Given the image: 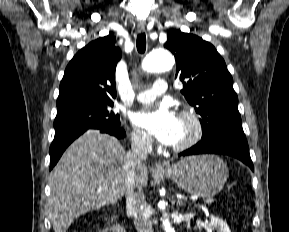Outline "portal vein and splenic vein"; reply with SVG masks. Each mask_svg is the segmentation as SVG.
Wrapping results in <instances>:
<instances>
[{"mask_svg": "<svg viewBox=\"0 0 289 232\" xmlns=\"http://www.w3.org/2000/svg\"><path fill=\"white\" fill-rule=\"evenodd\" d=\"M101 190H98V192H100ZM192 200L193 201H196L197 200V198H192ZM215 202V199H213V198H210V199H206L205 201H204V204L205 205H209V204H212V203H214Z\"/></svg>", "mask_w": 289, "mask_h": 232, "instance_id": "obj_1", "label": "portal vein and splenic vein"}]
</instances>
